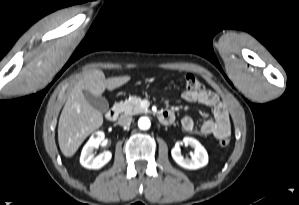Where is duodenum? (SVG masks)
Here are the masks:
<instances>
[{"mask_svg":"<svg viewBox=\"0 0 299 205\" xmlns=\"http://www.w3.org/2000/svg\"><path fill=\"white\" fill-rule=\"evenodd\" d=\"M119 110L117 107H112L109 109V111L106 113V118L109 121H115L118 118ZM159 120L163 124H170L174 120V115L171 112H161L159 115Z\"/></svg>","mask_w":299,"mask_h":205,"instance_id":"410a0bca","label":"duodenum"}]
</instances>
